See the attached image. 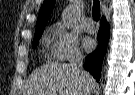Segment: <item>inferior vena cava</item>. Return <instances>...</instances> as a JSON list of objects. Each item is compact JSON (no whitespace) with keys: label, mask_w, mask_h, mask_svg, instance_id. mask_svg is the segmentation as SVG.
<instances>
[{"label":"inferior vena cava","mask_w":135,"mask_h":95,"mask_svg":"<svg viewBox=\"0 0 135 95\" xmlns=\"http://www.w3.org/2000/svg\"><path fill=\"white\" fill-rule=\"evenodd\" d=\"M69 65L75 73L80 75L83 83L85 84V92L83 95H90L92 87L89 83V75L83 69V57L79 53H77L76 56L71 60Z\"/></svg>","instance_id":"602c4592"}]
</instances>
